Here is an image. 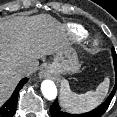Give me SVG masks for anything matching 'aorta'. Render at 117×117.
<instances>
[{
  "label": "aorta",
  "mask_w": 117,
  "mask_h": 117,
  "mask_svg": "<svg viewBox=\"0 0 117 117\" xmlns=\"http://www.w3.org/2000/svg\"><path fill=\"white\" fill-rule=\"evenodd\" d=\"M41 91L47 100H54L57 96V88L52 80H44L41 83Z\"/></svg>",
  "instance_id": "aorta-1"
}]
</instances>
